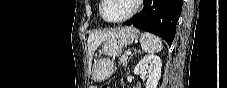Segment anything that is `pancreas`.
I'll list each match as a JSON object with an SVG mask.
<instances>
[{
	"instance_id": "obj_1",
	"label": "pancreas",
	"mask_w": 227,
	"mask_h": 88,
	"mask_svg": "<svg viewBox=\"0 0 227 88\" xmlns=\"http://www.w3.org/2000/svg\"><path fill=\"white\" fill-rule=\"evenodd\" d=\"M128 60H129L128 56L126 55V53H124L119 59V65L126 66Z\"/></svg>"
}]
</instances>
